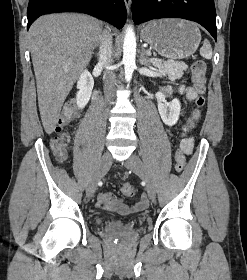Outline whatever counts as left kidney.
Instances as JSON below:
<instances>
[{
	"instance_id": "left-kidney-1",
	"label": "left kidney",
	"mask_w": 247,
	"mask_h": 280,
	"mask_svg": "<svg viewBox=\"0 0 247 280\" xmlns=\"http://www.w3.org/2000/svg\"><path fill=\"white\" fill-rule=\"evenodd\" d=\"M155 96L158 102V111L162 121L168 126L175 125L180 115V101L178 99H174L171 103H168L162 92H157Z\"/></svg>"
}]
</instances>
